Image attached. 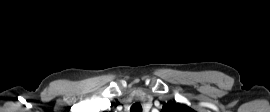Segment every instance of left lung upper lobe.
<instances>
[{"instance_id":"1","label":"left lung upper lobe","mask_w":270,"mask_h":112,"mask_svg":"<svg viewBox=\"0 0 270 112\" xmlns=\"http://www.w3.org/2000/svg\"><path fill=\"white\" fill-rule=\"evenodd\" d=\"M161 112H195L186 105L179 103L169 102L163 105Z\"/></svg>"}]
</instances>
